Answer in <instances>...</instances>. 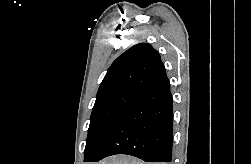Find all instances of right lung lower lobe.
<instances>
[{"label":"right lung lower lobe","instance_id":"1","mask_svg":"<svg viewBox=\"0 0 251 164\" xmlns=\"http://www.w3.org/2000/svg\"><path fill=\"white\" fill-rule=\"evenodd\" d=\"M173 100L167 78L141 89L110 126L85 162L127 154L145 162H171Z\"/></svg>","mask_w":251,"mask_h":164}]
</instances>
